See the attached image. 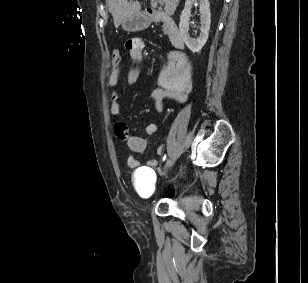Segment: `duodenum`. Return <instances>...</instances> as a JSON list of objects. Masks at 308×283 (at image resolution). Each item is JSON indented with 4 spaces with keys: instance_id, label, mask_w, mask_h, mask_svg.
<instances>
[{
    "instance_id": "obj_1",
    "label": "duodenum",
    "mask_w": 308,
    "mask_h": 283,
    "mask_svg": "<svg viewBox=\"0 0 308 283\" xmlns=\"http://www.w3.org/2000/svg\"><path fill=\"white\" fill-rule=\"evenodd\" d=\"M145 17L148 22L162 23L165 26L170 42L175 49L182 50L184 48L183 37L174 19L153 8H148L145 11Z\"/></svg>"
}]
</instances>
